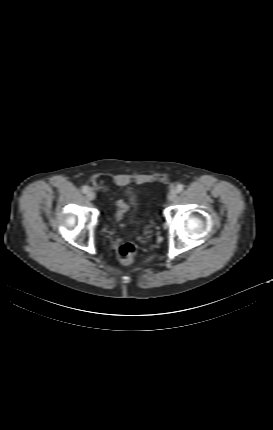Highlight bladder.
Segmentation results:
<instances>
[{
    "instance_id": "1",
    "label": "bladder",
    "mask_w": 273,
    "mask_h": 430,
    "mask_svg": "<svg viewBox=\"0 0 273 430\" xmlns=\"http://www.w3.org/2000/svg\"><path fill=\"white\" fill-rule=\"evenodd\" d=\"M129 204H130V208H131V210H132V220H134V216L136 215V213H137V211H138V201L136 200V198L135 197H132L131 199H130V202H129ZM131 222H133V221H131Z\"/></svg>"
}]
</instances>
